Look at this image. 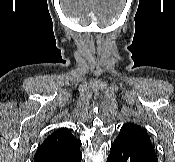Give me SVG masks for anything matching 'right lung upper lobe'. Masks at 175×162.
Listing matches in <instances>:
<instances>
[{
    "instance_id": "1",
    "label": "right lung upper lobe",
    "mask_w": 175,
    "mask_h": 162,
    "mask_svg": "<svg viewBox=\"0 0 175 162\" xmlns=\"http://www.w3.org/2000/svg\"><path fill=\"white\" fill-rule=\"evenodd\" d=\"M81 142L66 128L49 135L39 146L34 159L58 153H73L80 150Z\"/></svg>"
}]
</instances>
